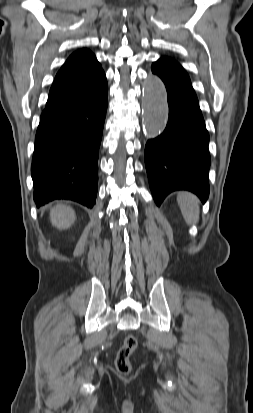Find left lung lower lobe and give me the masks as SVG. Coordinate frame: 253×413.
I'll return each mask as SVG.
<instances>
[{
	"instance_id": "left-lung-lower-lobe-1",
	"label": "left lung lower lobe",
	"mask_w": 253,
	"mask_h": 413,
	"mask_svg": "<svg viewBox=\"0 0 253 413\" xmlns=\"http://www.w3.org/2000/svg\"><path fill=\"white\" fill-rule=\"evenodd\" d=\"M152 72L164 82L169 119L164 132L145 146L149 185L157 205L175 190H189L202 202L209 196V134L190 78L173 59L162 57Z\"/></svg>"
}]
</instances>
